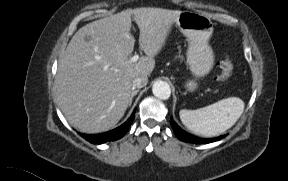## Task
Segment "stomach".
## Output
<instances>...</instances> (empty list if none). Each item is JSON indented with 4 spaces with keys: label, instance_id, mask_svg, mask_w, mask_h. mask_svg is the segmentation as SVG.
I'll return each instance as SVG.
<instances>
[{
    "label": "stomach",
    "instance_id": "0dacf381",
    "mask_svg": "<svg viewBox=\"0 0 288 181\" xmlns=\"http://www.w3.org/2000/svg\"><path fill=\"white\" fill-rule=\"evenodd\" d=\"M176 25L188 39L186 59L191 73L196 78L204 77L214 65V53L209 45L214 30L212 21L201 13L182 11ZM185 87L193 92L198 88V83L188 80Z\"/></svg>",
    "mask_w": 288,
    "mask_h": 181
}]
</instances>
